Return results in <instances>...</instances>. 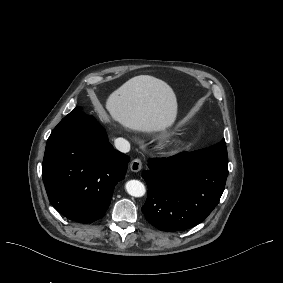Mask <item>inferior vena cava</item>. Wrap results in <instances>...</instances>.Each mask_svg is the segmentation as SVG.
<instances>
[{"label":"inferior vena cava","instance_id":"602c4592","mask_svg":"<svg viewBox=\"0 0 283 283\" xmlns=\"http://www.w3.org/2000/svg\"><path fill=\"white\" fill-rule=\"evenodd\" d=\"M115 147L122 153H127L130 150V144L128 141L118 138L114 141Z\"/></svg>","mask_w":283,"mask_h":283}]
</instances>
